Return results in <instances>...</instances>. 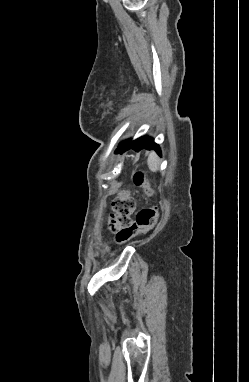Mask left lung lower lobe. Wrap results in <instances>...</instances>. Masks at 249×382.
<instances>
[{
    "label": "left lung lower lobe",
    "mask_w": 249,
    "mask_h": 382,
    "mask_svg": "<svg viewBox=\"0 0 249 382\" xmlns=\"http://www.w3.org/2000/svg\"><path fill=\"white\" fill-rule=\"evenodd\" d=\"M127 149H134L135 151H140L141 149L151 150L154 149L160 154L159 146L154 143V140L148 136L140 137L134 141L126 140L122 142L116 153H123Z\"/></svg>",
    "instance_id": "1"
}]
</instances>
